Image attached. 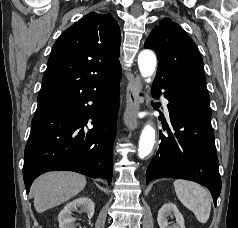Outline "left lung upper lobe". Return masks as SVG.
<instances>
[{"instance_id": "obj_1", "label": "left lung upper lobe", "mask_w": 238, "mask_h": 228, "mask_svg": "<svg viewBox=\"0 0 238 228\" xmlns=\"http://www.w3.org/2000/svg\"><path fill=\"white\" fill-rule=\"evenodd\" d=\"M158 58L153 83L171 86L178 92L210 108L203 61L194 41L175 22L160 21L145 42Z\"/></svg>"}]
</instances>
